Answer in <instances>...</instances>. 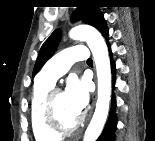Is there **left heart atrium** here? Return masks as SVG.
Returning <instances> with one entry per match:
<instances>
[{
    "label": "left heart atrium",
    "mask_w": 155,
    "mask_h": 141,
    "mask_svg": "<svg viewBox=\"0 0 155 141\" xmlns=\"http://www.w3.org/2000/svg\"><path fill=\"white\" fill-rule=\"evenodd\" d=\"M63 94L70 108L79 116L89 100L86 83L78 79H70Z\"/></svg>",
    "instance_id": "obj_1"
}]
</instances>
